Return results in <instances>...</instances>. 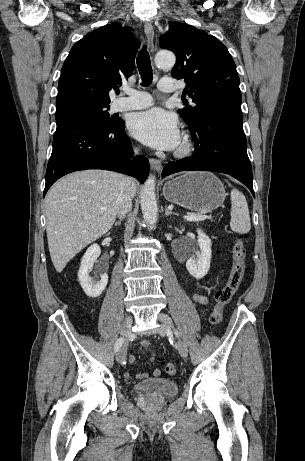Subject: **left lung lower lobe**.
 I'll use <instances>...</instances> for the list:
<instances>
[{
    "mask_svg": "<svg viewBox=\"0 0 305 461\" xmlns=\"http://www.w3.org/2000/svg\"><path fill=\"white\" fill-rule=\"evenodd\" d=\"M195 142L191 157L169 162L162 177L188 170L229 174L245 184L254 196L251 163L239 107L215 108L189 126Z\"/></svg>",
    "mask_w": 305,
    "mask_h": 461,
    "instance_id": "0a47b994",
    "label": "left lung lower lobe"
}]
</instances>
